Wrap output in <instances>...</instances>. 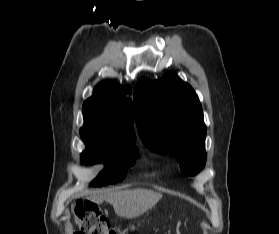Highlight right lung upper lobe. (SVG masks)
<instances>
[{"label": "right lung upper lobe", "instance_id": "1", "mask_svg": "<svg viewBox=\"0 0 279 234\" xmlns=\"http://www.w3.org/2000/svg\"><path fill=\"white\" fill-rule=\"evenodd\" d=\"M130 86L112 82L97 86L94 95L83 104L84 126L80 132L102 142H134L132 100L125 97Z\"/></svg>", "mask_w": 279, "mask_h": 234}]
</instances>
